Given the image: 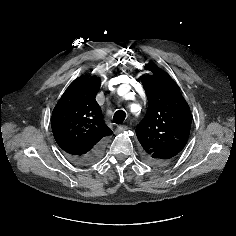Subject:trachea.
Returning a JSON list of instances; mask_svg holds the SVG:
<instances>
[{
    "label": "trachea",
    "mask_w": 236,
    "mask_h": 236,
    "mask_svg": "<svg viewBox=\"0 0 236 236\" xmlns=\"http://www.w3.org/2000/svg\"><path fill=\"white\" fill-rule=\"evenodd\" d=\"M126 113L123 110H118L113 116V123L121 124L125 120Z\"/></svg>",
    "instance_id": "trachea-1"
}]
</instances>
